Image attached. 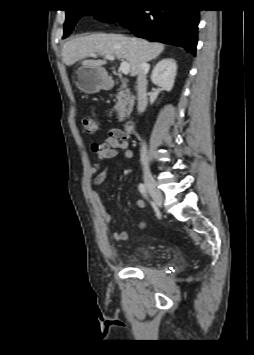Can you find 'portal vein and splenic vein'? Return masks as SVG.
Instances as JSON below:
<instances>
[{
	"mask_svg": "<svg viewBox=\"0 0 254 355\" xmlns=\"http://www.w3.org/2000/svg\"><path fill=\"white\" fill-rule=\"evenodd\" d=\"M91 56L95 57L96 54L92 53ZM105 57L111 61L115 59V56L113 55H106ZM120 70L124 75H128L130 72V64L127 61H122L120 64Z\"/></svg>",
	"mask_w": 254,
	"mask_h": 355,
	"instance_id": "portal-vein-and-splenic-vein-1",
	"label": "portal vein and splenic vein"
}]
</instances>
